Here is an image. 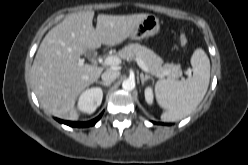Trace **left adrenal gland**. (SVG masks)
I'll return each mask as SVG.
<instances>
[{
  "mask_svg": "<svg viewBox=\"0 0 248 165\" xmlns=\"http://www.w3.org/2000/svg\"><path fill=\"white\" fill-rule=\"evenodd\" d=\"M140 78H141V83L142 85H144L145 81H147L148 79H152V77L150 75H144L143 73L140 74Z\"/></svg>",
  "mask_w": 248,
  "mask_h": 165,
  "instance_id": "1",
  "label": "left adrenal gland"
}]
</instances>
